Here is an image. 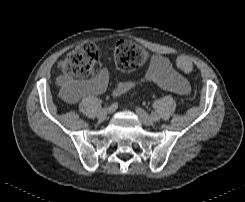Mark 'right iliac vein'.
<instances>
[{
	"label": "right iliac vein",
	"mask_w": 245,
	"mask_h": 202,
	"mask_svg": "<svg viewBox=\"0 0 245 202\" xmlns=\"http://www.w3.org/2000/svg\"><path fill=\"white\" fill-rule=\"evenodd\" d=\"M110 110L109 108H102L101 110H99L98 114H97V118L100 121H104L107 116L109 115Z\"/></svg>",
	"instance_id": "1"
}]
</instances>
